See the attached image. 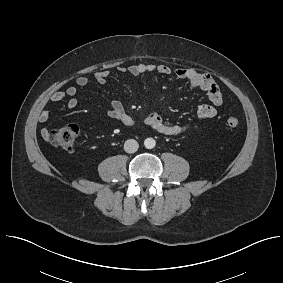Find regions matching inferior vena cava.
Wrapping results in <instances>:
<instances>
[{
    "label": "inferior vena cava",
    "mask_w": 283,
    "mask_h": 283,
    "mask_svg": "<svg viewBox=\"0 0 283 283\" xmlns=\"http://www.w3.org/2000/svg\"><path fill=\"white\" fill-rule=\"evenodd\" d=\"M138 148H139V144L134 139H129L124 143V150L129 154L135 153L138 150Z\"/></svg>",
    "instance_id": "obj_1"
}]
</instances>
